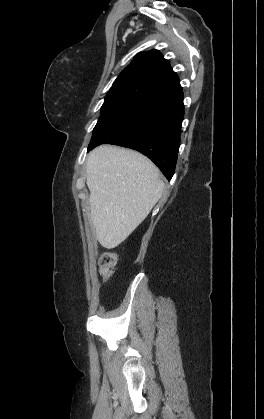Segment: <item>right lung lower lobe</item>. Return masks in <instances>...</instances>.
<instances>
[{
    "label": "right lung lower lobe",
    "instance_id": "98d812e1",
    "mask_svg": "<svg viewBox=\"0 0 264 419\" xmlns=\"http://www.w3.org/2000/svg\"><path fill=\"white\" fill-rule=\"evenodd\" d=\"M183 115L181 90L151 98L141 105L125 126L102 144H115L143 153L170 180L177 162Z\"/></svg>",
    "mask_w": 264,
    "mask_h": 419
}]
</instances>
